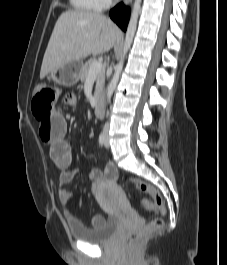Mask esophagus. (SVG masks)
Segmentation results:
<instances>
[{"label": "esophagus", "instance_id": "34e87169", "mask_svg": "<svg viewBox=\"0 0 227 265\" xmlns=\"http://www.w3.org/2000/svg\"><path fill=\"white\" fill-rule=\"evenodd\" d=\"M132 0H124V4L128 5Z\"/></svg>", "mask_w": 227, "mask_h": 265}]
</instances>
